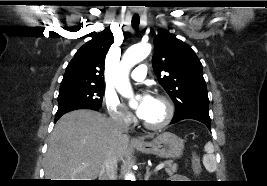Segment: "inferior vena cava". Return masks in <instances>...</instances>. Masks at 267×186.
<instances>
[{
	"mask_svg": "<svg viewBox=\"0 0 267 186\" xmlns=\"http://www.w3.org/2000/svg\"><path fill=\"white\" fill-rule=\"evenodd\" d=\"M113 133L115 135L126 134L129 130V123L122 117L112 119ZM117 159L112 152H109L107 158L102 164L99 180H117Z\"/></svg>",
	"mask_w": 267,
	"mask_h": 186,
	"instance_id": "inferior-vena-cava-1",
	"label": "inferior vena cava"
}]
</instances>
